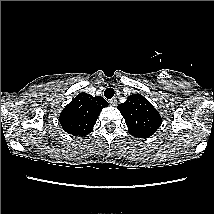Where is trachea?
<instances>
[{"mask_svg": "<svg viewBox=\"0 0 214 214\" xmlns=\"http://www.w3.org/2000/svg\"><path fill=\"white\" fill-rule=\"evenodd\" d=\"M104 96H105L107 99H111V98L114 96V89H113V88H107V89L104 91Z\"/></svg>", "mask_w": 214, "mask_h": 214, "instance_id": "3493384b", "label": "trachea"}]
</instances>
